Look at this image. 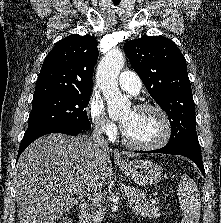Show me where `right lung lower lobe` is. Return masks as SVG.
Segmentation results:
<instances>
[{"label": "right lung lower lobe", "instance_id": "1", "mask_svg": "<svg viewBox=\"0 0 221 223\" xmlns=\"http://www.w3.org/2000/svg\"><path fill=\"white\" fill-rule=\"evenodd\" d=\"M82 131H83L82 129H75V128H71L67 126H49V127L37 129L32 132H25L24 137L19 146L18 157L30 143H32L34 140H36L37 138L43 135L50 134V133H63L67 135H77L78 133Z\"/></svg>", "mask_w": 221, "mask_h": 223}]
</instances>
